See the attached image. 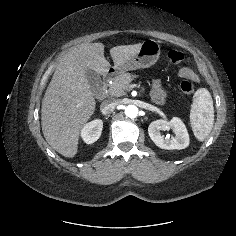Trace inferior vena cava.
<instances>
[{"label": "inferior vena cava", "mask_w": 236, "mask_h": 236, "mask_svg": "<svg viewBox=\"0 0 236 236\" xmlns=\"http://www.w3.org/2000/svg\"><path fill=\"white\" fill-rule=\"evenodd\" d=\"M118 105L119 101L117 99L115 98L106 99L101 103V111L105 115L109 114L113 112Z\"/></svg>", "instance_id": "obj_1"}]
</instances>
